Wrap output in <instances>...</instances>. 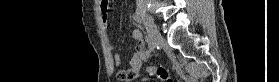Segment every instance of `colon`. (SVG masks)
I'll return each instance as SVG.
<instances>
[{"instance_id": "obj_1", "label": "colon", "mask_w": 279, "mask_h": 82, "mask_svg": "<svg viewBox=\"0 0 279 82\" xmlns=\"http://www.w3.org/2000/svg\"><path fill=\"white\" fill-rule=\"evenodd\" d=\"M148 72H150L151 74L156 75L159 79H161L162 81H170L171 77L170 74L168 72L167 69L160 67V66H149L147 68ZM123 75V73H121Z\"/></svg>"}]
</instances>
